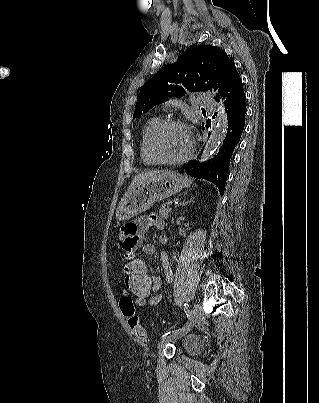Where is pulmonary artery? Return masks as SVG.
<instances>
[{
	"instance_id": "obj_1",
	"label": "pulmonary artery",
	"mask_w": 319,
	"mask_h": 403,
	"mask_svg": "<svg viewBox=\"0 0 319 403\" xmlns=\"http://www.w3.org/2000/svg\"><path fill=\"white\" fill-rule=\"evenodd\" d=\"M198 96H199V98L201 100L202 106H204V107H212V106H214L215 103H214V101L212 100V97L209 94L201 92V93L198 94ZM169 105H171V103Z\"/></svg>"
}]
</instances>
